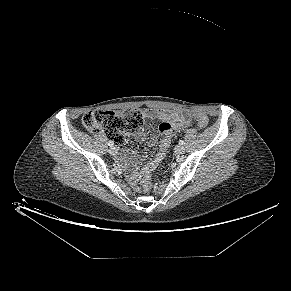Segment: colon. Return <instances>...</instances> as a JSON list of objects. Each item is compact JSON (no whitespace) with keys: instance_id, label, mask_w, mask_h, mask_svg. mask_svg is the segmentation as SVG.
Here are the masks:
<instances>
[{"instance_id":"5ec220e1","label":"colon","mask_w":291,"mask_h":291,"mask_svg":"<svg viewBox=\"0 0 291 291\" xmlns=\"http://www.w3.org/2000/svg\"><path fill=\"white\" fill-rule=\"evenodd\" d=\"M197 124L200 128L208 125V118L201 112H195ZM146 114L140 109H131L128 111H90L84 114L82 118L83 125L90 131L98 133L103 132L116 144L123 143L125 136L135 132L143 125ZM154 169L147 167L141 176V185L145 191L152 187L151 172Z\"/></svg>"}]
</instances>
